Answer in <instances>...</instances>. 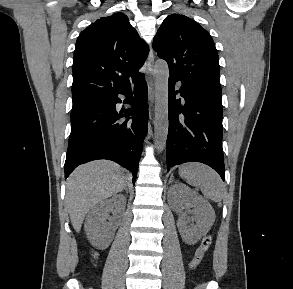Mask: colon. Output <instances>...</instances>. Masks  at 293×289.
Instances as JSON below:
<instances>
[{"mask_svg": "<svg viewBox=\"0 0 293 289\" xmlns=\"http://www.w3.org/2000/svg\"><path fill=\"white\" fill-rule=\"evenodd\" d=\"M212 243V235H206L200 245L198 246V248L196 249V252L190 262V266L192 269H196L199 264L201 263L202 259H203V256L204 254L206 253V251L208 250V248L210 247ZM93 258H96V254L94 253L92 255Z\"/></svg>", "mask_w": 293, "mask_h": 289, "instance_id": "obj_1", "label": "colon"}]
</instances>
